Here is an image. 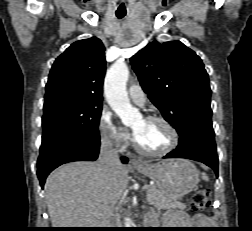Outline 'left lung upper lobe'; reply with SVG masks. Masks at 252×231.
Returning <instances> with one entry per match:
<instances>
[{"instance_id": "1", "label": "left lung upper lobe", "mask_w": 252, "mask_h": 231, "mask_svg": "<svg viewBox=\"0 0 252 231\" xmlns=\"http://www.w3.org/2000/svg\"><path fill=\"white\" fill-rule=\"evenodd\" d=\"M143 90L180 134L212 123L209 77L200 57L180 41L149 43L131 58Z\"/></svg>"}]
</instances>
